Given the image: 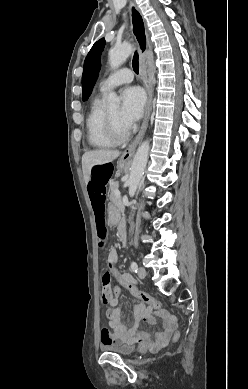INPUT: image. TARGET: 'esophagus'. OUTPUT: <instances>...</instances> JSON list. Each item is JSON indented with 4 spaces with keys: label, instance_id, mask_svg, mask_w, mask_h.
Returning <instances> with one entry per match:
<instances>
[{
    "label": "esophagus",
    "instance_id": "esophagus-1",
    "mask_svg": "<svg viewBox=\"0 0 248 389\" xmlns=\"http://www.w3.org/2000/svg\"><path fill=\"white\" fill-rule=\"evenodd\" d=\"M129 9L131 14L132 31L139 47L141 64L147 67L148 60L152 55V47H151V42L149 38V33L147 31L146 23L143 18V15L141 14L140 10L138 9V7L134 2L130 1ZM148 70L149 69H147V71ZM144 85L148 95L145 117L142 126L140 128V131L136 136L135 140L123 152L121 156V160L123 161H127L131 159L137 145L143 138L148 126L149 117L152 110V98H153V85H152V77H151L150 70H149V76L145 79Z\"/></svg>",
    "mask_w": 248,
    "mask_h": 389
}]
</instances>
